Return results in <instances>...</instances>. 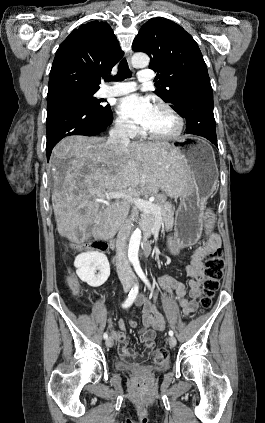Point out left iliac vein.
<instances>
[{"label":"left iliac vein","mask_w":265,"mask_h":423,"mask_svg":"<svg viewBox=\"0 0 265 423\" xmlns=\"http://www.w3.org/2000/svg\"><path fill=\"white\" fill-rule=\"evenodd\" d=\"M170 347H174L177 343L175 337L171 336L168 340Z\"/></svg>","instance_id":"left-iliac-vein-1"}]
</instances>
